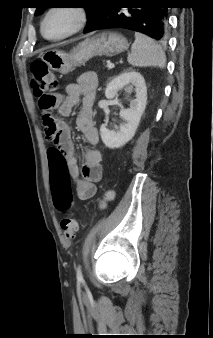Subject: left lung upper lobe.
I'll list each match as a JSON object with an SVG mask.
<instances>
[{"label": "left lung upper lobe", "instance_id": "1", "mask_svg": "<svg viewBox=\"0 0 213 338\" xmlns=\"http://www.w3.org/2000/svg\"><path fill=\"white\" fill-rule=\"evenodd\" d=\"M40 2H43V1H40ZM85 3L88 4V6L85 7V9L87 11V19H88L87 26H89L94 21L96 16L98 15L101 5H102V0H86ZM46 8L48 7H45V6L36 7L35 16L41 14Z\"/></svg>", "mask_w": 213, "mask_h": 338}]
</instances>
